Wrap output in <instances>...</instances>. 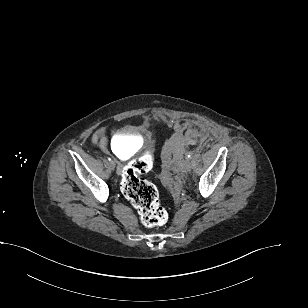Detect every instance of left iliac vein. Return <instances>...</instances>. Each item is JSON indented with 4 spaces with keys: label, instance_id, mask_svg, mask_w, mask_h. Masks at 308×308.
I'll return each mask as SVG.
<instances>
[{
    "label": "left iliac vein",
    "instance_id": "left-iliac-vein-1",
    "mask_svg": "<svg viewBox=\"0 0 308 308\" xmlns=\"http://www.w3.org/2000/svg\"><path fill=\"white\" fill-rule=\"evenodd\" d=\"M180 169L182 172H189L191 169V164H190V160L189 159H185L181 165H180Z\"/></svg>",
    "mask_w": 308,
    "mask_h": 308
}]
</instances>
